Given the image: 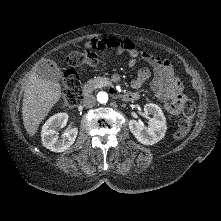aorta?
Returning a JSON list of instances; mask_svg holds the SVG:
<instances>
[{"label": "aorta", "instance_id": "762f6f07", "mask_svg": "<svg viewBox=\"0 0 221 221\" xmlns=\"http://www.w3.org/2000/svg\"><path fill=\"white\" fill-rule=\"evenodd\" d=\"M97 100L99 103L105 104L108 101V94L106 92H99Z\"/></svg>", "mask_w": 221, "mask_h": 221}]
</instances>
